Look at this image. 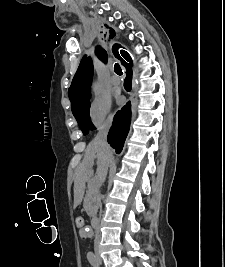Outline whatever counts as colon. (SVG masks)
I'll list each match as a JSON object with an SVG mask.
<instances>
[{"label": "colon", "mask_w": 225, "mask_h": 267, "mask_svg": "<svg viewBox=\"0 0 225 267\" xmlns=\"http://www.w3.org/2000/svg\"><path fill=\"white\" fill-rule=\"evenodd\" d=\"M76 227L80 230V234H83V227H84V218L82 216H77L75 218Z\"/></svg>", "instance_id": "colon-1"}]
</instances>
